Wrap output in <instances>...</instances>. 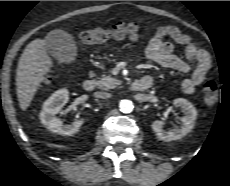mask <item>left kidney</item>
I'll use <instances>...</instances> for the list:
<instances>
[{"label":"left kidney","instance_id":"5707ae66","mask_svg":"<svg viewBox=\"0 0 230 186\" xmlns=\"http://www.w3.org/2000/svg\"><path fill=\"white\" fill-rule=\"evenodd\" d=\"M174 106L180 107L185 116L181 118L182 124L180 127H175L172 130L166 131L163 129V122L156 120L152 123V129L157 137L163 141H172L180 139L192 131L197 117L195 107L186 99L177 98L173 101Z\"/></svg>","mask_w":230,"mask_h":186}]
</instances>
